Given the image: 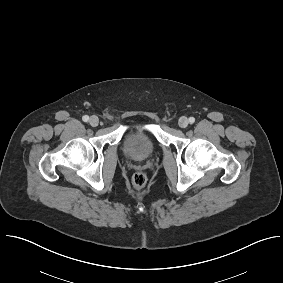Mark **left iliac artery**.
<instances>
[{"instance_id": "44dca946", "label": "left iliac artery", "mask_w": 283, "mask_h": 283, "mask_svg": "<svg viewBox=\"0 0 283 283\" xmlns=\"http://www.w3.org/2000/svg\"><path fill=\"white\" fill-rule=\"evenodd\" d=\"M194 122H195V118H194V117H190V118H189V123H190V124H193Z\"/></svg>"}]
</instances>
